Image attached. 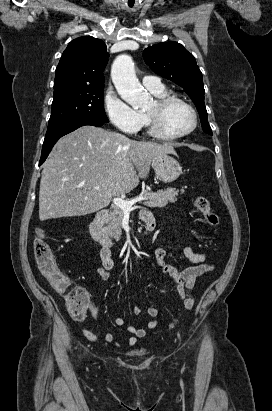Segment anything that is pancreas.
Here are the masks:
<instances>
[{
    "label": "pancreas",
    "instance_id": "1",
    "mask_svg": "<svg viewBox=\"0 0 272 411\" xmlns=\"http://www.w3.org/2000/svg\"><path fill=\"white\" fill-rule=\"evenodd\" d=\"M179 191L175 188H167L166 190H159L157 192H145L143 197L147 198L144 205L148 207H165L169 202L174 203L177 201L176 196ZM181 193H184L181 190ZM124 212L121 208L113 206L110 211L109 217L106 221L105 231L113 237L116 241H119L122 234V219Z\"/></svg>",
    "mask_w": 272,
    "mask_h": 411
}]
</instances>
